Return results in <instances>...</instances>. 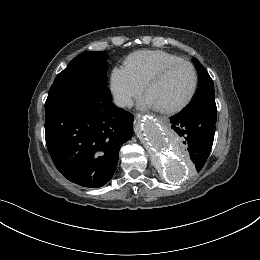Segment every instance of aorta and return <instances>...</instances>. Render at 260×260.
I'll return each instance as SVG.
<instances>
[{
    "label": "aorta",
    "instance_id": "762f6f07",
    "mask_svg": "<svg viewBox=\"0 0 260 260\" xmlns=\"http://www.w3.org/2000/svg\"><path fill=\"white\" fill-rule=\"evenodd\" d=\"M136 134L148 149L156 167L170 181L188 175L189 168L176 136L155 118L145 117L135 127Z\"/></svg>",
    "mask_w": 260,
    "mask_h": 260
}]
</instances>
